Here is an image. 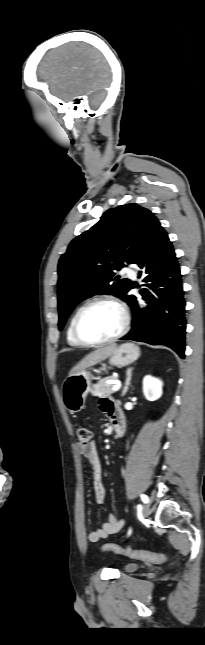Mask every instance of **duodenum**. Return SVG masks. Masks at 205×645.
<instances>
[{
  "label": "duodenum",
  "instance_id": "duodenum-1",
  "mask_svg": "<svg viewBox=\"0 0 205 645\" xmlns=\"http://www.w3.org/2000/svg\"><path fill=\"white\" fill-rule=\"evenodd\" d=\"M111 422H112L116 437H121L125 431V421H124V416L119 408L115 410L114 416L112 417Z\"/></svg>",
  "mask_w": 205,
  "mask_h": 645
}]
</instances>
